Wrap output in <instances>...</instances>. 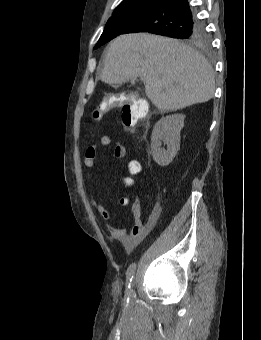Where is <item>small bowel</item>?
<instances>
[{
	"mask_svg": "<svg viewBox=\"0 0 261 340\" xmlns=\"http://www.w3.org/2000/svg\"><path fill=\"white\" fill-rule=\"evenodd\" d=\"M111 138L108 135H103L99 139V146L108 147L111 144ZM113 156L116 159H122L126 156V148L121 145H115L113 149ZM97 157V146H90L84 155L83 163L86 167H93L95 165ZM130 182L129 179L126 180ZM126 203V201H123ZM92 203L101 215V217L105 220L106 229L110 233L111 237L122 244L127 250H132L154 227L157 215L155 212H152L145 223L141 222L140 219V209L137 202L133 205V214H134V224L130 229L127 228H117L112 226L109 221L111 219L109 211L106 209L103 204L99 192H97L93 198Z\"/></svg>",
	"mask_w": 261,
	"mask_h": 340,
	"instance_id": "obj_1",
	"label": "small bowel"
}]
</instances>
